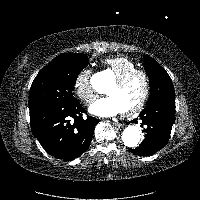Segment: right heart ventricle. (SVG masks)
<instances>
[{
  "instance_id": "1",
  "label": "right heart ventricle",
  "mask_w": 200,
  "mask_h": 200,
  "mask_svg": "<svg viewBox=\"0 0 200 200\" xmlns=\"http://www.w3.org/2000/svg\"><path fill=\"white\" fill-rule=\"evenodd\" d=\"M102 66L110 71L115 79L124 74L138 69V66L126 56L110 57L102 61Z\"/></svg>"
}]
</instances>
